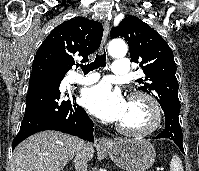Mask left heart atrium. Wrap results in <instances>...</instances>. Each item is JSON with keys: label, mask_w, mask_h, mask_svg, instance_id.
<instances>
[{"label": "left heart atrium", "mask_w": 199, "mask_h": 171, "mask_svg": "<svg viewBox=\"0 0 199 171\" xmlns=\"http://www.w3.org/2000/svg\"><path fill=\"white\" fill-rule=\"evenodd\" d=\"M82 104L90 113L108 122L120 121L127 107L120 90L107 82L86 89L82 94Z\"/></svg>", "instance_id": "39dd6f15"}]
</instances>
